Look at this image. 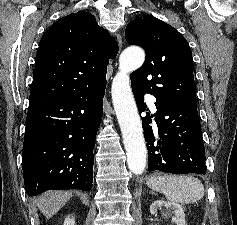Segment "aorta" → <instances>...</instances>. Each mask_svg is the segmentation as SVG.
<instances>
[{
    "instance_id": "aorta-1",
    "label": "aorta",
    "mask_w": 237,
    "mask_h": 225,
    "mask_svg": "<svg viewBox=\"0 0 237 225\" xmlns=\"http://www.w3.org/2000/svg\"><path fill=\"white\" fill-rule=\"evenodd\" d=\"M145 60L141 48L125 49L119 58V72L112 82V101L118 123L122 132L130 171L136 175L144 172L147 149L143 135L142 123L130 87L129 74L138 69Z\"/></svg>"
}]
</instances>
